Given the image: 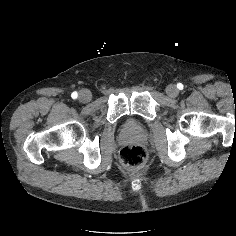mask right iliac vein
I'll list each match as a JSON object with an SVG mask.
<instances>
[{"label": "right iliac vein", "instance_id": "obj_1", "mask_svg": "<svg viewBox=\"0 0 236 236\" xmlns=\"http://www.w3.org/2000/svg\"><path fill=\"white\" fill-rule=\"evenodd\" d=\"M91 93L87 89H83L79 92L78 100L82 103H88L91 100Z\"/></svg>", "mask_w": 236, "mask_h": 236}]
</instances>
